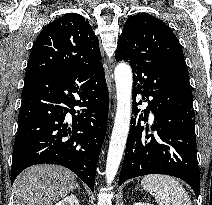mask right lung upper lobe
<instances>
[{
    "label": "right lung upper lobe",
    "mask_w": 212,
    "mask_h": 205,
    "mask_svg": "<svg viewBox=\"0 0 212 205\" xmlns=\"http://www.w3.org/2000/svg\"><path fill=\"white\" fill-rule=\"evenodd\" d=\"M99 40L89 21L76 13L49 23L38 35L25 80L45 73L102 67Z\"/></svg>",
    "instance_id": "right-lung-upper-lobe-1"
}]
</instances>
